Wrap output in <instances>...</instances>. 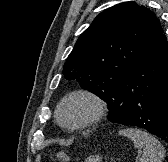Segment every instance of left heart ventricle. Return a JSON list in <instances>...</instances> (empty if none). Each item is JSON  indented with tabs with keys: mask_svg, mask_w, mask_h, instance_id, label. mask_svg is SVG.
Masks as SVG:
<instances>
[{
	"mask_svg": "<svg viewBox=\"0 0 168 162\" xmlns=\"http://www.w3.org/2000/svg\"><path fill=\"white\" fill-rule=\"evenodd\" d=\"M89 112L87 105L80 102H71L62 110V119L66 123L74 124L83 119Z\"/></svg>",
	"mask_w": 168,
	"mask_h": 162,
	"instance_id": "b2bd125f",
	"label": "left heart ventricle"
}]
</instances>
